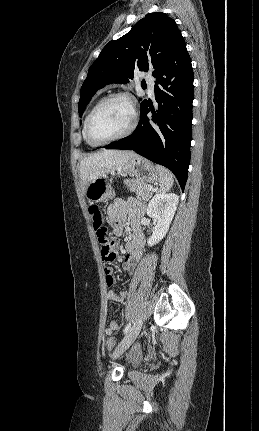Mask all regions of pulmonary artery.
Listing matches in <instances>:
<instances>
[{
    "label": "pulmonary artery",
    "instance_id": "pulmonary-artery-1",
    "mask_svg": "<svg viewBox=\"0 0 259 431\" xmlns=\"http://www.w3.org/2000/svg\"><path fill=\"white\" fill-rule=\"evenodd\" d=\"M146 82L149 86V93L151 95H153L154 94L155 79L152 76H147Z\"/></svg>",
    "mask_w": 259,
    "mask_h": 431
}]
</instances>
